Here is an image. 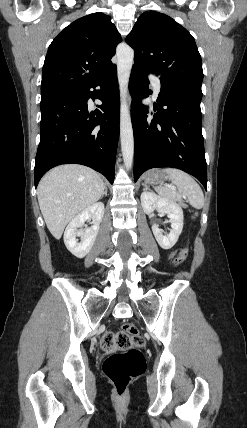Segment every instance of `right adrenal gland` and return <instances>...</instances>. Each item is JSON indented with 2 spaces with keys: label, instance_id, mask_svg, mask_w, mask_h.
I'll list each match as a JSON object with an SVG mask.
<instances>
[{
  "label": "right adrenal gland",
  "instance_id": "1",
  "mask_svg": "<svg viewBox=\"0 0 247 428\" xmlns=\"http://www.w3.org/2000/svg\"><path fill=\"white\" fill-rule=\"evenodd\" d=\"M104 195L107 196V186H104V192L101 197H103Z\"/></svg>",
  "mask_w": 247,
  "mask_h": 428
}]
</instances>
